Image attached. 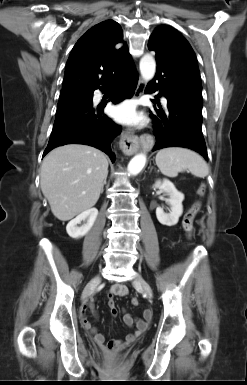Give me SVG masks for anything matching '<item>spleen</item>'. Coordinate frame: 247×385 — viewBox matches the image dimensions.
<instances>
[{
  "mask_svg": "<svg viewBox=\"0 0 247 385\" xmlns=\"http://www.w3.org/2000/svg\"><path fill=\"white\" fill-rule=\"evenodd\" d=\"M155 161L161 173L168 177H176L185 170L199 178L209 174L208 165L202 156L187 148H164L157 153Z\"/></svg>",
  "mask_w": 247,
  "mask_h": 385,
  "instance_id": "spleen-1",
  "label": "spleen"
}]
</instances>
